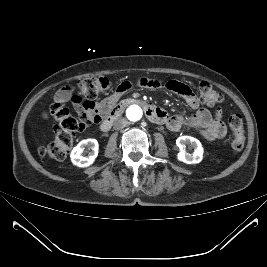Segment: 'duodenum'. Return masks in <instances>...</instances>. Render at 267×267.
Returning a JSON list of instances; mask_svg holds the SVG:
<instances>
[{
    "instance_id": "obj_1",
    "label": "duodenum",
    "mask_w": 267,
    "mask_h": 267,
    "mask_svg": "<svg viewBox=\"0 0 267 267\" xmlns=\"http://www.w3.org/2000/svg\"><path fill=\"white\" fill-rule=\"evenodd\" d=\"M132 104H136L141 106L146 115L148 116L149 119H151L152 121L156 122V123H162L163 122V115L160 112V110L158 108H154L151 104L138 100V99H133V98H129L126 99L124 101H122L121 103L117 104L110 112L109 114L105 117V119L103 120V122L100 125V129L103 132L108 131L114 121L116 119H118L121 114L123 113L124 109Z\"/></svg>"
}]
</instances>
